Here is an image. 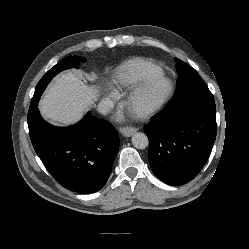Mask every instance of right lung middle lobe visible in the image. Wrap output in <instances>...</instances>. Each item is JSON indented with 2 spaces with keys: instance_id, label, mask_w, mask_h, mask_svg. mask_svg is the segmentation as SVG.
<instances>
[{
  "instance_id": "1",
  "label": "right lung middle lobe",
  "mask_w": 249,
  "mask_h": 249,
  "mask_svg": "<svg viewBox=\"0 0 249 249\" xmlns=\"http://www.w3.org/2000/svg\"><path fill=\"white\" fill-rule=\"evenodd\" d=\"M82 62H86V59L78 56H69L61 60L54 67H52L39 81L35 89V95L42 94V92L46 88L47 84L51 81L53 76H55L62 70L69 69L72 67H77L79 63Z\"/></svg>"
}]
</instances>
